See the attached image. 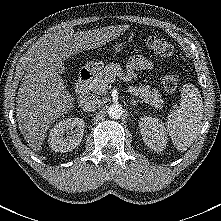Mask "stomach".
I'll list each match as a JSON object with an SVG mask.
<instances>
[{
    "mask_svg": "<svg viewBox=\"0 0 221 221\" xmlns=\"http://www.w3.org/2000/svg\"><path fill=\"white\" fill-rule=\"evenodd\" d=\"M124 45L121 43H117L114 47H113V51L115 53H119L123 50ZM104 66V63L102 61L99 62H95V61H90L86 64L85 68L92 72V73H97L99 72Z\"/></svg>",
    "mask_w": 221,
    "mask_h": 221,
    "instance_id": "0dacf381",
    "label": "stomach"
}]
</instances>
